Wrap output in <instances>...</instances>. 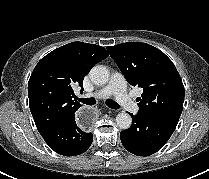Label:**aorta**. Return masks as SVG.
<instances>
[{"label": "aorta", "mask_w": 209, "mask_h": 179, "mask_svg": "<svg viewBox=\"0 0 209 179\" xmlns=\"http://www.w3.org/2000/svg\"><path fill=\"white\" fill-rule=\"evenodd\" d=\"M109 71L103 65L94 66L90 73L89 77L91 81L96 85H104L109 80ZM116 123L121 129H128L132 124V118L129 114L122 112L116 116Z\"/></svg>", "instance_id": "1"}]
</instances>
